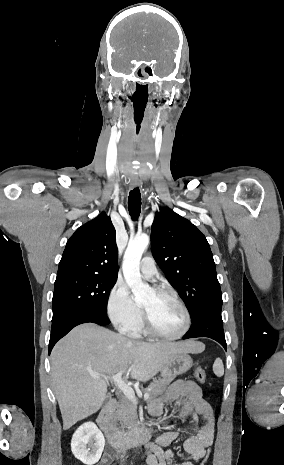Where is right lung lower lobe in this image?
Wrapping results in <instances>:
<instances>
[{
    "label": "right lung lower lobe",
    "instance_id": "right-lung-lower-lobe-1",
    "mask_svg": "<svg viewBox=\"0 0 284 465\" xmlns=\"http://www.w3.org/2000/svg\"><path fill=\"white\" fill-rule=\"evenodd\" d=\"M88 322L99 325H107L110 323L105 313L89 309L69 310L56 318H52L49 354L57 341L65 336L72 328Z\"/></svg>",
    "mask_w": 284,
    "mask_h": 465
}]
</instances>
